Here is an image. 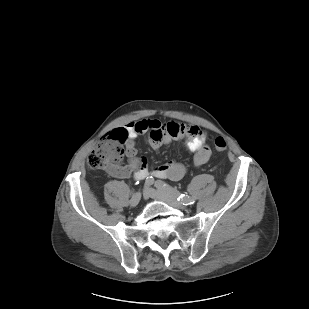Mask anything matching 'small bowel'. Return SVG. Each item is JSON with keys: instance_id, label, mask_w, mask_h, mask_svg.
I'll return each instance as SVG.
<instances>
[{"instance_id": "small-bowel-1", "label": "small bowel", "mask_w": 309, "mask_h": 309, "mask_svg": "<svg viewBox=\"0 0 309 309\" xmlns=\"http://www.w3.org/2000/svg\"><path fill=\"white\" fill-rule=\"evenodd\" d=\"M116 131L125 134L128 160L126 165L111 170V175L117 178L133 176L136 180H142L151 175L159 179L177 181L186 174V165L179 161H171L150 169L146 158L137 156L135 140L141 134H147V141L154 149H158L161 145L173 140H184L187 149L193 153L192 165L195 168L202 167L210 158V149L205 143L206 134L196 125L186 126L177 121L163 124L157 119H139Z\"/></svg>"}]
</instances>
